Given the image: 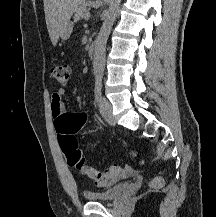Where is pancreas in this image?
Masks as SVG:
<instances>
[{"mask_svg": "<svg viewBox=\"0 0 216 217\" xmlns=\"http://www.w3.org/2000/svg\"><path fill=\"white\" fill-rule=\"evenodd\" d=\"M87 11H88L87 2H84L76 10V13L74 15V20L78 21V20H80L82 18H85V14H86Z\"/></svg>", "mask_w": 216, "mask_h": 217, "instance_id": "obj_1", "label": "pancreas"}]
</instances>
